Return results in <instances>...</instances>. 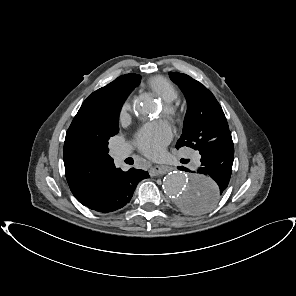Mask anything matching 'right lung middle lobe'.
Masks as SVG:
<instances>
[{"label": "right lung middle lobe", "instance_id": "1", "mask_svg": "<svg viewBox=\"0 0 296 296\" xmlns=\"http://www.w3.org/2000/svg\"><path fill=\"white\" fill-rule=\"evenodd\" d=\"M140 79H138V81L132 85L131 87L127 88L123 93H121V97L118 100V104L114 110V113L112 115V117L108 120V123L105 127V132L107 134L108 137L114 136L115 134L118 133L119 131V113H120V109L121 106L123 104V102L125 101V99L127 98V96L129 95V93L139 84Z\"/></svg>", "mask_w": 296, "mask_h": 296}]
</instances>
